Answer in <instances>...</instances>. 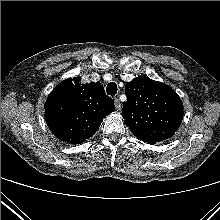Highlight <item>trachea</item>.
<instances>
[{"instance_id":"obj_1","label":"trachea","mask_w":220,"mask_h":220,"mask_svg":"<svg viewBox=\"0 0 220 220\" xmlns=\"http://www.w3.org/2000/svg\"><path fill=\"white\" fill-rule=\"evenodd\" d=\"M117 84L114 83V82H110L108 85H107V88H106V92L108 95H111V96H114L116 95L117 93Z\"/></svg>"}]
</instances>
